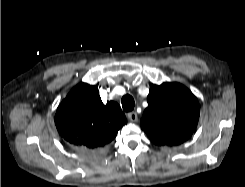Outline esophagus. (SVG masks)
Instances as JSON below:
<instances>
[{"instance_id": "obj_1", "label": "esophagus", "mask_w": 245, "mask_h": 187, "mask_svg": "<svg viewBox=\"0 0 245 187\" xmlns=\"http://www.w3.org/2000/svg\"><path fill=\"white\" fill-rule=\"evenodd\" d=\"M127 117H128V119H129L130 121H132V122H136L137 119H138L137 113H136L135 111L129 112V113L127 114Z\"/></svg>"}]
</instances>
